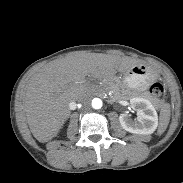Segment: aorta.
<instances>
[{"instance_id":"1","label":"aorta","mask_w":183,"mask_h":183,"mask_svg":"<svg viewBox=\"0 0 183 183\" xmlns=\"http://www.w3.org/2000/svg\"><path fill=\"white\" fill-rule=\"evenodd\" d=\"M102 100L101 99H99V98H94L93 100H92V107L94 108V109H100L101 107H102Z\"/></svg>"}]
</instances>
